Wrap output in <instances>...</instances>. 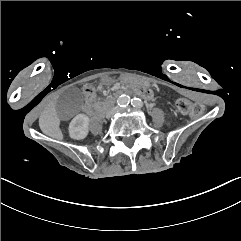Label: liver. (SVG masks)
Listing matches in <instances>:
<instances>
[{
    "label": "liver",
    "instance_id": "1",
    "mask_svg": "<svg viewBox=\"0 0 241 241\" xmlns=\"http://www.w3.org/2000/svg\"><path fill=\"white\" fill-rule=\"evenodd\" d=\"M39 126L41 131L50 137L63 140V133L60 129L61 119L58 117L54 107H49L40 116Z\"/></svg>",
    "mask_w": 241,
    "mask_h": 241
}]
</instances>
